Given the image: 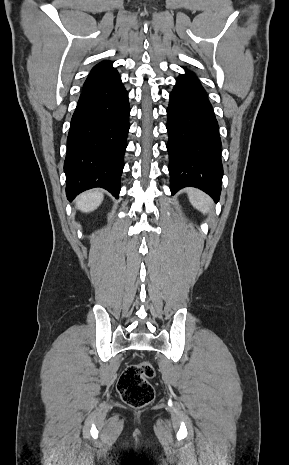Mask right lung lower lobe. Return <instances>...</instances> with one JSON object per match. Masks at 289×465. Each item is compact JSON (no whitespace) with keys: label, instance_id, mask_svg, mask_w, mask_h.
<instances>
[{"label":"right lung lower lobe","instance_id":"right-lung-lower-lobe-1","mask_svg":"<svg viewBox=\"0 0 289 465\" xmlns=\"http://www.w3.org/2000/svg\"><path fill=\"white\" fill-rule=\"evenodd\" d=\"M129 114L128 93L120 77L83 90L67 138L64 172L69 201L94 187L119 197Z\"/></svg>","mask_w":289,"mask_h":465}]
</instances>
